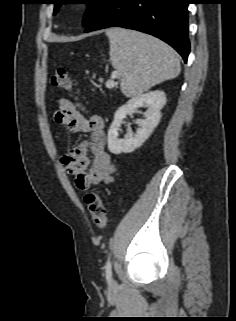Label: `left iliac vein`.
<instances>
[{
  "label": "left iliac vein",
  "mask_w": 236,
  "mask_h": 321,
  "mask_svg": "<svg viewBox=\"0 0 236 321\" xmlns=\"http://www.w3.org/2000/svg\"><path fill=\"white\" fill-rule=\"evenodd\" d=\"M112 284H114V280H112Z\"/></svg>",
  "instance_id": "4c4485c4"
}]
</instances>
